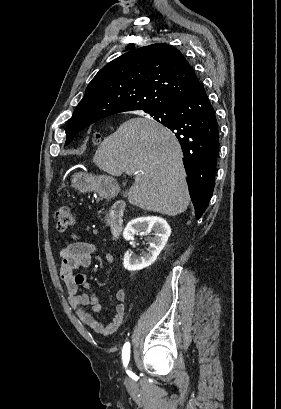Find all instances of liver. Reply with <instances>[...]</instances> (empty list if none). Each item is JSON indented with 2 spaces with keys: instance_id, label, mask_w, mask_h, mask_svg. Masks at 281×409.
Here are the masks:
<instances>
[{
  "instance_id": "liver-1",
  "label": "liver",
  "mask_w": 281,
  "mask_h": 409,
  "mask_svg": "<svg viewBox=\"0 0 281 409\" xmlns=\"http://www.w3.org/2000/svg\"><path fill=\"white\" fill-rule=\"evenodd\" d=\"M95 164L112 176H134L130 205L175 217L187 211L189 190L180 144L151 118H129L98 146Z\"/></svg>"
}]
</instances>
